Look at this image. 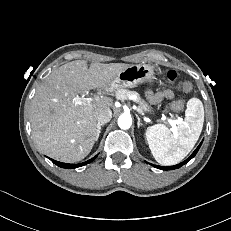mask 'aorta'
<instances>
[{"instance_id": "1", "label": "aorta", "mask_w": 231, "mask_h": 231, "mask_svg": "<svg viewBox=\"0 0 231 231\" xmlns=\"http://www.w3.org/2000/svg\"><path fill=\"white\" fill-rule=\"evenodd\" d=\"M132 125V119L129 115L126 114H122L119 118H118V126L121 129H129Z\"/></svg>"}]
</instances>
